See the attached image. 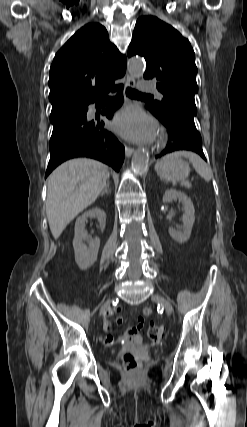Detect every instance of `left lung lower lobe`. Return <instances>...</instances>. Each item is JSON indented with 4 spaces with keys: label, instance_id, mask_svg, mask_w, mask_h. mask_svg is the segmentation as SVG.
<instances>
[{
    "label": "left lung lower lobe",
    "instance_id": "0a47b994",
    "mask_svg": "<svg viewBox=\"0 0 247 427\" xmlns=\"http://www.w3.org/2000/svg\"><path fill=\"white\" fill-rule=\"evenodd\" d=\"M157 118L168 128L169 135V141L159 156L187 150L197 153L206 160L202 150L201 135L196 129L193 117L181 112H172L165 117Z\"/></svg>",
    "mask_w": 247,
    "mask_h": 427
}]
</instances>
